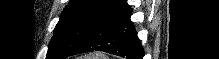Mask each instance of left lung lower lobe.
Masks as SVG:
<instances>
[{"label": "left lung lower lobe", "instance_id": "1", "mask_svg": "<svg viewBox=\"0 0 219 59\" xmlns=\"http://www.w3.org/2000/svg\"><path fill=\"white\" fill-rule=\"evenodd\" d=\"M131 13L125 0H111L93 32L69 56L104 51L126 59H143L144 49L130 20Z\"/></svg>", "mask_w": 219, "mask_h": 59}]
</instances>
